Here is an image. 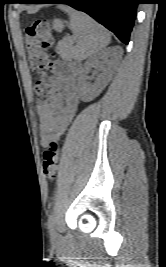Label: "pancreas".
<instances>
[{
  "mask_svg": "<svg viewBox=\"0 0 166 267\" xmlns=\"http://www.w3.org/2000/svg\"><path fill=\"white\" fill-rule=\"evenodd\" d=\"M58 53L61 55L64 59H69L71 57V43L63 40L60 41L56 47Z\"/></svg>",
  "mask_w": 166,
  "mask_h": 267,
  "instance_id": "cf45deb5",
  "label": "pancreas"
}]
</instances>
